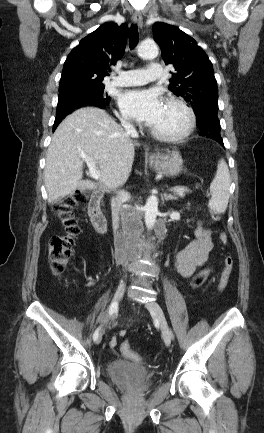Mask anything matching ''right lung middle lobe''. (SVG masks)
Masks as SVG:
<instances>
[{
  "label": "right lung middle lobe",
  "mask_w": 264,
  "mask_h": 433,
  "mask_svg": "<svg viewBox=\"0 0 264 433\" xmlns=\"http://www.w3.org/2000/svg\"><path fill=\"white\" fill-rule=\"evenodd\" d=\"M89 100H96L106 105L109 104L110 97L104 92L103 84L70 88L60 93L56 117L68 114L77 103Z\"/></svg>",
  "instance_id": "obj_1"
}]
</instances>
